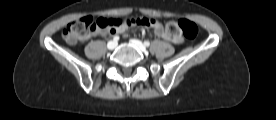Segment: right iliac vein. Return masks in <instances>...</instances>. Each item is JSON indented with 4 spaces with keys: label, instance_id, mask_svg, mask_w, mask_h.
<instances>
[{
    "label": "right iliac vein",
    "instance_id": "1",
    "mask_svg": "<svg viewBox=\"0 0 276 120\" xmlns=\"http://www.w3.org/2000/svg\"><path fill=\"white\" fill-rule=\"evenodd\" d=\"M118 43L116 41H110L107 44L109 50H114L117 47Z\"/></svg>",
    "mask_w": 276,
    "mask_h": 120
}]
</instances>
